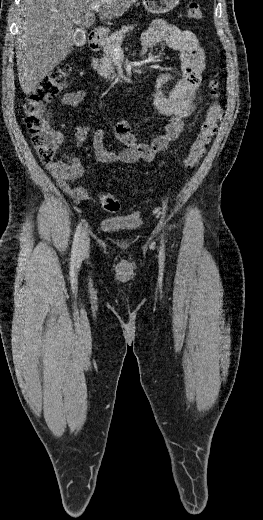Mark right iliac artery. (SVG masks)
Returning a JSON list of instances; mask_svg holds the SVG:
<instances>
[{
    "label": "right iliac artery",
    "instance_id": "82829eb1",
    "mask_svg": "<svg viewBox=\"0 0 263 520\" xmlns=\"http://www.w3.org/2000/svg\"><path fill=\"white\" fill-rule=\"evenodd\" d=\"M81 229H82V223H80L77 226L76 232H75V235H74V240H73V245H72V254H73V256H75L77 254V251H78Z\"/></svg>",
    "mask_w": 263,
    "mask_h": 520
}]
</instances>
